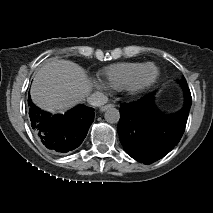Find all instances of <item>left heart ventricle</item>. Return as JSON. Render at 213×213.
Wrapping results in <instances>:
<instances>
[{"instance_id":"obj_1","label":"left heart ventricle","mask_w":213,"mask_h":213,"mask_svg":"<svg viewBox=\"0 0 213 213\" xmlns=\"http://www.w3.org/2000/svg\"><path fill=\"white\" fill-rule=\"evenodd\" d=\"M152 69H148L142 76V82L149 80L152 77Z\"/></svg>"}]
</instances>
